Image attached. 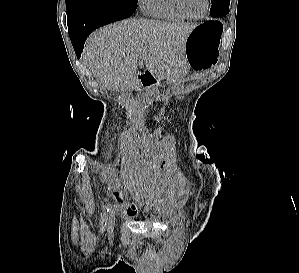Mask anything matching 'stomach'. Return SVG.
I'll return each instance as SVG.
<instances>
[{"label":"stomach","instance_id":"1","mask_svg":"<svg viewBox=\"0 0 299 273\" xmlns=\"http://www.w3.org/2000/svg\"><path fill=\"white\" fill-rule=\"evenodd\" d=\"M223 25L218 20L199 24L185 43L186 64L197 71H207L218 61Z\"/></svg>","mask_w":299,"mask_h":273}]
</instances>
